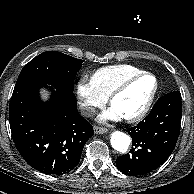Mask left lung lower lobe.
Listing matches in <instances>:
<instances>
[{"instance_id":"obj_1","label":"left lung lower lobe","mask_w":194,"mask_h":194,"mask_svg":"<svg viewBox=\"0 0 194 194\" xmlns=\"http://www.w3.org/2000/svg\"><path fill=\"white\" fill-rule=\"evenodd\" d=\"M179 91L162 96L149 115L126 131L132 138V149L116 159L117 168L129 176L156 170L170 156L177 143L182 118Z\"/></svg>"}]
</instances>
